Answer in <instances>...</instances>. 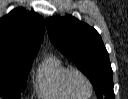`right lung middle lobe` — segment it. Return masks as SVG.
Here are the masks:
<instances>
[{
  "label": "right lung middle lobe",
  "mask_w": 128,
  "mask_h": 99,
  "mask_svg": "<svg viewBox=\"0 0 128 99\" xmlns=\"http://www.w3.org/2000/svg\"><path fill=\"white\" fill-rule=\"evenodd\" d=\"M35 55L0 54V96L20 98Z\"/></svg>",
  "instance_id": "obj_1"
}]
</instances>
